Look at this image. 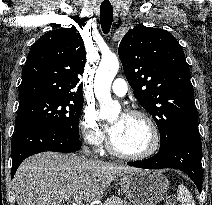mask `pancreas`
Returning <instances> with one entry per match:
<instances>
[{
    "mask_svg": "<svg viewBox=\"0 0 212 205\" xmlns=\"http://www.w3.org/2000/svg\"><path fill=\"white\" fill-rule=\"evenodd\" d=\"M103 205H131L130 203L121 200L118 197H112L107 199Z\"/></svg>",
    "mask_w": 212,
    "mask_h": 205,
    "instance_id": "1",
    "label": "pancreas"
}]
</instances>
